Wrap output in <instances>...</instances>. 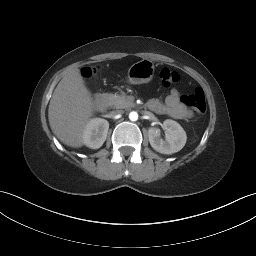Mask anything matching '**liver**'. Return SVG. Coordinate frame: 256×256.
<instances>
[{"mask_svg":"<svg viewBox=\"0 0 256 256\" xmlns=\"http://www.w3.org/2000/svg\"><path fill=\"white\" fill-rule=\"evenodd\" d=\"M91 92L80 70H70L55 88L50 100L48 119L52 132L65 145L83 146V133L94 113Z\"/></svg>","mask_w":256,"mask_h":256,"instance_id":"1","label":"liver"}]
</instances>
